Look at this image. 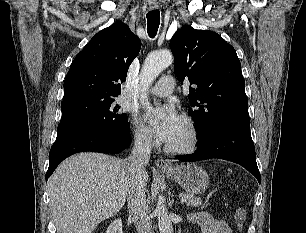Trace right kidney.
I'll return each mask as SVG.
<instances>
[{
	"label": "right kidney",
	"instance_id": "right-kidney-1",
	"mask_svg": "<svg viewBox=\"0 0 306 233\" xmlns=\"http://www.w3.org/2000/svg\"><path fill=\"white\" fill-rule=\"evenodd\" d=\"M106 233H123L122 221L120 219L114 220L107 228Z\"/></svg>",
	"mask_w": 306,
	"mask_h": 233
}]
</instances>
